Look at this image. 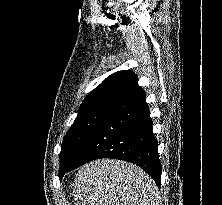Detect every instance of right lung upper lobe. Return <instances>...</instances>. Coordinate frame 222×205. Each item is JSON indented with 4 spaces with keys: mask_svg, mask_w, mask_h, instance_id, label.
Wrapping results in <instances>:
<instances>
[{
    "mask_svg": "<svg viewBox=\"0 0 222 205\" xmlns=\"http://www.w3.org/2000/svg\"><path fill=\"white\" fill-rule=\"evenodd\" d=\"M140 89L142 88L138 86L137 76L132 71L113 73L84 99L78 115L100 110L109 111Z\"/></svg>",
    "mask_w": 222,
    "mask_h": 205,
    "instance_id": "right-lung-upper-lobe-1",
    "label": "right lung upper lobe"
}]
</instances>
